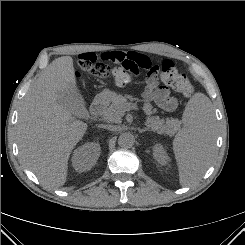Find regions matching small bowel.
Segmentation results:
<instances>
[{
	"label": "small bowel",
	"mask_w": 245,
	"mask_h": 245,
	"mask_svg": "<svg viewBox=\"0 0 245 245\" xmlns=\"http://www.w3.org/2000/svg\"><path fill=\"white\" fill-rule=\"evenodd\" d=\"M98 56L101 60L110 61L112 63H119L124 58H131L138 63L140 69H149L151 67V61L147 56L134 52L124 53L110 51L103 52ZM143 96L147 101H153L160 108L166 111L175 110L178 104L176 98L171 95L169 89L165 87H159L157 85V81L154 79L148 80V84Z\"/></svg>",
	"instance_id": "c3829d8e"
}]
</instances>
